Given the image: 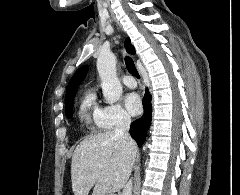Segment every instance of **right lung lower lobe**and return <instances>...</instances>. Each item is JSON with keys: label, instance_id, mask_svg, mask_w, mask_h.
I'll return each mask as SVG.
<instances>
[{"label": "right lung lower lobe", "instance_id": "right-lung-lower-lobe-1", "mask_svg": "<svg viewBox=\"0 0 240 195\" xmlns=\"http://www.w3.org/2000/svg\"><path fill=\"white\" fill-rule=\"evenodd\" d=\"M142 103L145 112L143 116L135 120L130 127V135L135 139L139 147L145 142L147 131L152 120L151 95L148 90H146Z\"/></svg>", "mask_w": 240, "mask_h": 195}]
</instances>
